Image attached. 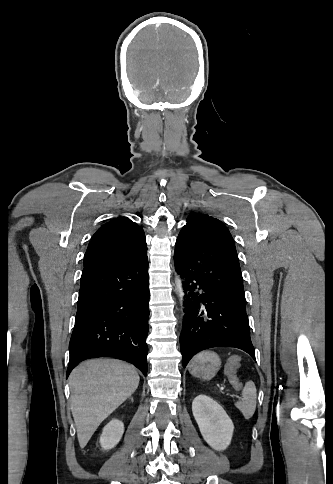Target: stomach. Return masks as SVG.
Here are the masks:
<instances>
[{"mask_svg": "<svg viewBox=\"0 0 333 484\" xmlns=\"http://www.w3.org/2000/svg\"><path fill=\"white\" fill-rule=\"evenodd\" d=\"M221 367V360L217 354L211 351L199 353L189 364V372L205 380L212 379Z\"/></svg>", "mask_w": 333, "mask_h": 484, "instance_id": "obj_1", "label": "stomach"}]
</instances>
